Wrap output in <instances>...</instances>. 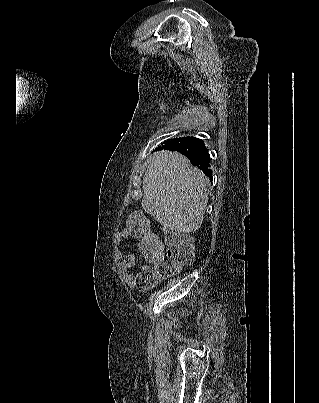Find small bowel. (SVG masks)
Instances as JSON below:
<instances>
[{"mask_svg": "<svg viewBox=\"0 0 319 403\" xmlns=\"http://www.w3.org/2000/svg\"><path fill=\"white\" fill-rule=\"evenodd\" d=\"M131 232L128 230H124L122 232V236L124 238H128L131 236ZM136 264V257L134 254H128L123 259H121L118 264L117 268L121 276L126 280L130 287H135L137 285V274L129 272L131 268H133ZM150 267L147 264L141 266V271H147Z\"/></svg>", "mask_w": 319, "mask_h": 403, "instance_id": "1", "label": "small bowel"}]
</instances>
